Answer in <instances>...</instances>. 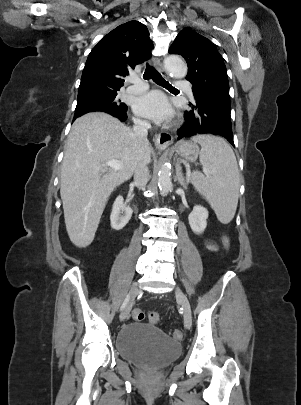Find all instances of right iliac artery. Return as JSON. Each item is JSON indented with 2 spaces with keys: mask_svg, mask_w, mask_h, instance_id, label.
Wrapping results in <instances>:
<instances>
[{
  "mask_svg": "<svg viewBox=\"0 0 301 405\" xmlns=\"http://www.w3.org/2000/svg\"><path fill=\"white\" fill-rule=\"evenodd\" d=\"M129 299H130V294H128V295L126 296V298H125V300H124V302H123V304H122L120 310H123V309L125 308V306H126L127 303L129 302Z\"/></svg>",
  "mask_w": 301,
  "mask_h": 405,
  "instance_id": "1",
  "label": "right iliac artery"
}]
</instances>
